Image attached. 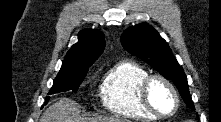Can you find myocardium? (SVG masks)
<instances>
[{"label":"myocardium","mask_w":221,"mask_h":122,"mask_svg":"<svg viewBox=\"0 0 221 122\" xmlns=\"http://www.w3.org/2000/svg\"><path fill=\"white\" fill-rule=\"evenodd\" d=\"M155 81L162 82L172 92L174 100H175V106L172 112L167 113V114L162 113L159 110H157L155 106L153 105V103L151 102L150 88ZM139 96H140L141 103L146 108V110H148L154 116L159 117V118H169V117L174 116L180 107V97H179L176 87L169 79H167L166 77L160 74L148 75L142 81L139 87Z\"/></svg>","instance_id":"1"}]
</instances>
